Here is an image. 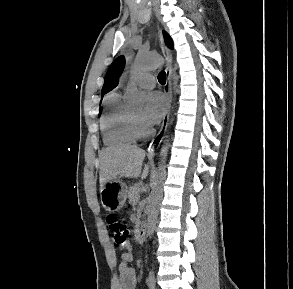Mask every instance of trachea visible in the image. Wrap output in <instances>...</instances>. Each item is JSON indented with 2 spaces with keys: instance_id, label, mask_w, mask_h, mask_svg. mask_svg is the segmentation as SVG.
Segmentation results:
<instances>
[{
  "instance_id": "trachea-1",
  "label": "trachea",
  "mask_w": 293,
  "mask_h": 289,
  "mask_svg": "<svg viewBox=\"0 0 293 289\" xmlns=\"http://www.w3.org/2000/svg\"><path fill=\"white\" fill-rule=\"evenodd\" d=\"M158 81L160 84L164 85L166 83V74L164 71L160 72L158 75Z\"/></svg>"
}]
</instances>
